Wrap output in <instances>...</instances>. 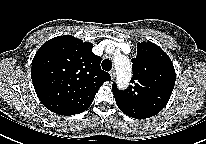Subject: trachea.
<instances>
[{
  "instance_id": "1",
  "label": "trachea",
  "mask_w": 206,
  "mask_h": 144,
  "mask_svg": "<svg viewBox=\"0 0 206 144\" xmlns=\"http://www.w3.org/2000/svg\"><path fill=\"white\" fill-rule=\"evenodd\" d=\"M103 70L110 71L112 69V62L108 59L103 60L101 64Z\"/></svg>"
}]
</instances>
